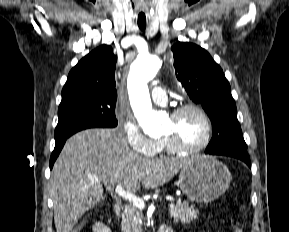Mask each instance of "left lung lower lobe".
<instances>
[{"mask_svg":"<svg viewBox=\"0 0 289 232\" xmlns=\"http://www.w3.org/2000/svg\"><path fill=\"white\" fill-rule=\"evenodd\" d=\"M205 153L210 155H224L234 157L244 161L249 167H251L250 158L248 156L246 149H226L214 152L205 151Z\"/></svg>","mask_w":289,"mask_h":232,"instance_id":"1","label":"left lung lower lobe"}]
</instances>
